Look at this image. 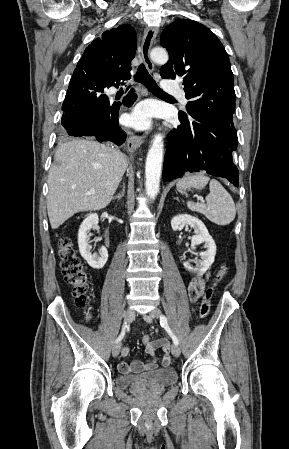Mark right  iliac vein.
I'll return each instance as SVG.
<instances>
[{
    "label": "right iliac vein",
    "mask_w": 289,
    "mask_h": 449,
    "mask_svg": "<svg viewBox=\"0 0 289 449\" xmlns=\"http://www.w3.org/2000/svg\"><path fill=\"white\" fill-rule=\"evenodd\" d=\"M135 317V311L133 308H128L124 313L125 323H131ZM121 344L120 342L115 343L112 349L113 357H117L120 353Z\"/></svg>",
    "instance_id": "1"
}]
</instances>
